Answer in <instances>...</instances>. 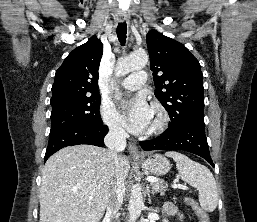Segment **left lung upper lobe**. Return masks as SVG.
<instances>
[{
	"label": "left lung upper lobe",
	"mask_w": 257,
	"mask_h": 222,
	"mask_svg": "<svg viewBox=\"0 0 257 222\" xmlns=\"http://www.w3.org/2000/svg\"><path fill=\"white\" fill-rule=\"evenodd\" d=\"M155 96L165 107L169 127L204 122L203 74L198 60L180 42L150 30L146 36Z\"/></svg>",
	"instance_id": "5c2ea615"
}]
</instances>
